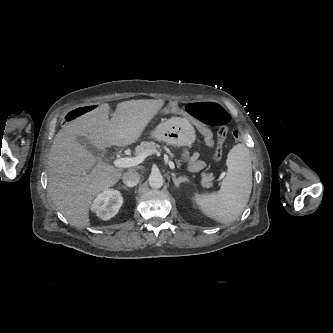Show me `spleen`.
<instances>
[{"label": "spleen", "mask_w": 333, "mask_h": 333, "mask_svg": "<svg viewBox=\"0 0 333 333\" xmlns=\"http://www.w3.org/2000/svg\"><path fill=\"white\" fill-rule=\"evenodd\" d=\"M227 175L216 193L204 194L197 200L206 216L224 224L235 221L246 207L252 189L251 154L244 144L235 145L228 153Z\"/></svg>", "instance_id": "obj_1"}]
</instances>
